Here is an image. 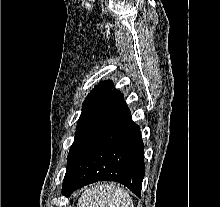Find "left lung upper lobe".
<instances>
[{
    "instance_id": "obj_1",
    "label": "left lung upper lobe",
    "mask_w": 220,
    "mask_h": 207,
    "mask_svg": "<svg viewBox=\"0 0 220 207\" xmlns=\"http://www.w3.org/2000/svg\"><path fill=\"white\" fill-rule=\"evenodd\" d=\"M113 88L112 81H104L98 84L86 97L83 103L82 113L77 123L78 126L85 120L95 106L102 100V98Z\"/></svg>"
}]
</instances>
